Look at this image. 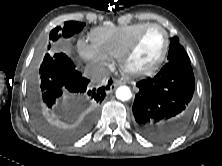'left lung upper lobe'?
Wrapping results in <instances>:
<instances>
[{
  "label": "left lung upper lobe",
  "mask_w": 222,
  "mask_h": 166,
  "mask_svg": "<svg viewBox=\"0 0 222 166\" xmlns=\"http://www.w3.org/2000/svg\"><path fill=\"white\" fill-rule=\"evenodd\" d=\"M168 61L169 62H173V61H188V62H190V59H189L185 49L179 43L178 37L171 38L170 48H169V53H168Z\"/></svg>",
  "instance_id": "left-lung-upper-lobe-1"
}]
</instances>
